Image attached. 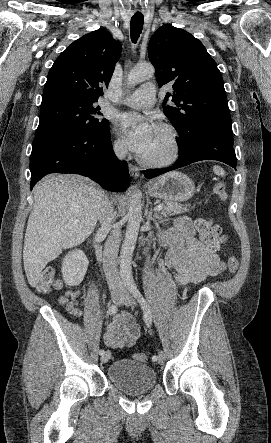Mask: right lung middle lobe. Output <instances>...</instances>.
<instances>
[{"label": "right lung middle lobe", "mask_w": 271, "mask_h": 443, "mask_svg": "<svg viewBox=\"0 0 271 443\" xmlns=\"http://www.w3.org/2000/svg\"><path fill=\"white\" fill-rule=\"evenodd\" d=\"M93 103L76 99H56L41 103L40 122L36 134L49 128H68L80 132H97L107 126L109 121L98 117L102 115Z\"/></svg>", "instance_id": "obj_1"}]
</instances>
